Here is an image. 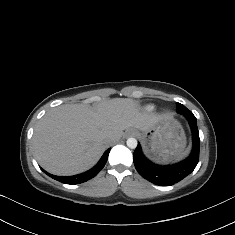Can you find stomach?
<instances>
[{"mask_svg": "<svg viewBox=\"0 0 235 235\" xmlns=\"http://www.w3.org/2000/svg\"><path fill=\"white\" fill-rule=\"evenodd\" d=\"M132 129L143 142L147 152L155 155L156 160L168 162L182 155L186 138L178 122L168 119L160 121L146 131Z\"/></svg>", "mask_w": 235, "mask_h": 235, "instance_id": "1", "label": "stomach"}]
</instances>
